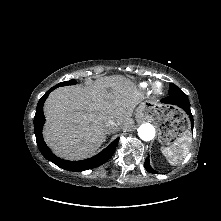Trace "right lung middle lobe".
Returning <instances> with one entry per match:
<instances>
[{"mask_svg": "<svg viewBox=\"0 0 221 221\" xmlns=\"http://www.w3.org/2000/svg\"><path fill=\"white\" fill-rule=\"evenodd\" d=\"M76 83L77 82L74 79H72V80H69V81L61 82V83L57 84L56 86H54V88L65 86V85H74Z\"/></svg>", "mask_w": 221, "mask_h": 221, "instance_id": "dd1d6c3e", "label": "right lung middle lobe"}]
</instances>
